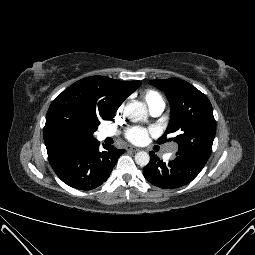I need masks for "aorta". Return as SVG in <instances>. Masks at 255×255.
<instances>
[{"label":"aorta","mask_w":255,"mask_h":255,"mask_svg":"<svg viewBox=\"0 0 255 255\" xmlns=\"http://www.w3.org/2000/svg\"><path fill=\"white\" fill-rule=\"evenodd\" d=\"M127 118L133 122L145 121L147 118L146 106L138 101H133L125 106L124 109ZM150 161V156L145 151H140L135 154V162L139 166H146Z\"/></svg>","instance_id":"762f6f07"}]
</instances>
